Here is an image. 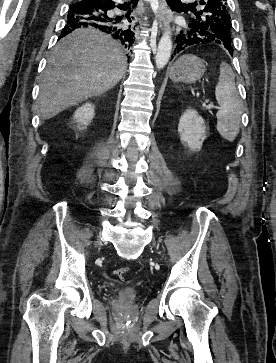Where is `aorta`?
Listing matches in <instances>:
<instances>
[{"instance_id": "762f6f07", "label": "aorta", "mask_w": 276, "mask_h": 363, "mask_svg": "<svg viewBox=\"0 0 276 363\" xmlns=\"http://www.w3.org/2000/svg\"><path fill=\"white\" fill-rule=\"evenodd\" d=\"M172 51V39L168 32L164 33L159 41L155 64L157 69H162L168 63Z\"/></svg>"}]
</instances>
